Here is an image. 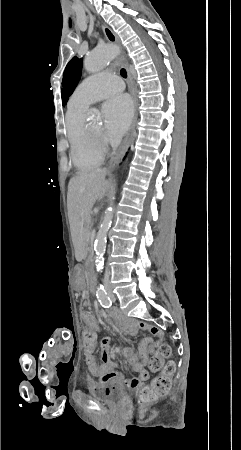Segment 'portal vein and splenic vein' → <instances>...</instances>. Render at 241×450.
<instances>
[{"instance_id":"portal-vein-and-splenic-vein-1","label":"portal vein and splenic vein","mask_w":241,"mask_h":450,"mask_svg":"<svg viewBox=\"0 0 241 450\" xmlns=\"http://www.w3.org/2000/svg\"><path fill=\"white\" fill-rule=\"evenodd\" d=\"M88 236H91V233H88Z\"/></svg>"}]
</instances>
